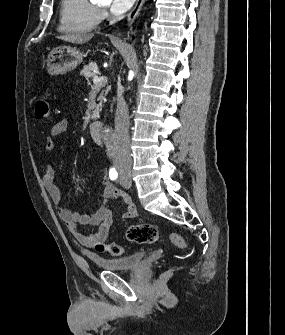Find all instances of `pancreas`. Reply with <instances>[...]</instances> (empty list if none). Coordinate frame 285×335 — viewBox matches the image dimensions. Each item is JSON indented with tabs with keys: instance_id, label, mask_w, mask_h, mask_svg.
Listing matches in <instances>:
<instances>
[{
	"instance_id": "obj_1",
	"label": "pancreas",
	"mask_w": 285,
	"mask_h": 335,
	"mask_svg": "<svg viewBox=\"0 0 285 335\" xmlns=\"http://www.w3.org/2000/svg\"><path fill=\"white\" fill-rule=\"evenodd\" d=\"M95 72H98V68L96 64H89V66H84V70H81L80 76H81V82L82 84H92L93 78L95 76ZM84 88H87V85H84ZM108 90H106L105 94H107ZM105 94H101L99 100H102L103 96ZM101 115V106L95 105L94 106V112L91 113V118L98 122L100 120Z\"/></svg>"
}]
</instances>
